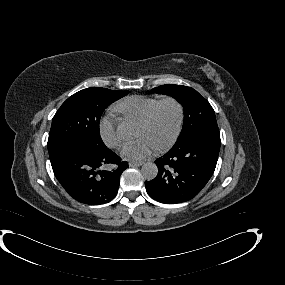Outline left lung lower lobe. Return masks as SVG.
I'll use <instances>...</instances> for the list:
<instances>
[{
    "mask_svg": "<svg viewBox=\"0 0 285 285\" xmlns=\"http://www.w3.org/2000/svg\"><path fill=\"white\" fill-rule=\"evenodd\" d=\"M219 149L218 126L202 129L176 142L168 153L156 159L158 175L145 181L147 193L167 204L194 198L211 178Z\"/></svg>",
    "mask_w": 285,
    "mask_h": 285,
    "instance_id": "left-lung-lower-lobe-1",
    "label": "left lung lower lobe"
}]
</instances>
